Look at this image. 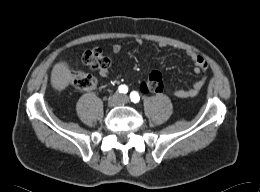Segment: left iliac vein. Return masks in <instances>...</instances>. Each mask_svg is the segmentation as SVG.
Returning a JSON list of instances; mask_svg holds the SVG:
<instances>
[{"label": "left iliac vein", "mask_w": 260, "mask_h": 192, "mask_svg": "<svg viewBox=\"0 0 260 192\" xmlns=\"http://www.w3.org/2000/svg\"><path fill=\"white\" fill-rule=\"evenodd\" d=\"M129 102V98L126 95L121 96L120 103L126 104Z\"/></svg>", "instance_id": "left-iliac-vein-1"}]
</instances>
